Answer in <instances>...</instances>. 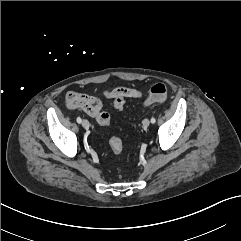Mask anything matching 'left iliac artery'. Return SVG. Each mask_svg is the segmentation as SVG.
Masks as SVG:
<instances>
[{"label":"left iliac artery","instance_id":"1","mask_svg":"<svg viewBox=\"0 0 241 241\" xmlns=\"http://www.w3.org/2000/svg\"><path fill=\"white\" fill-rule=\"evenodd\" d=\"M156 119L154 117L151 118V123H155Z\"/></svg>","mask_w":241,"mask_h":241}]
</instances>
